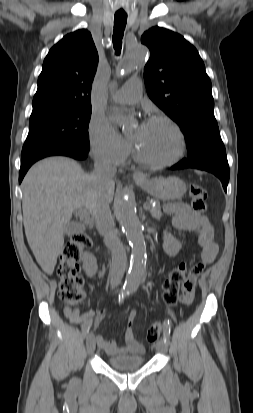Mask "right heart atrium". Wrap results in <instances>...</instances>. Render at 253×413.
I'll list each match as a JSON object with an SVG mask.
<instances>
[{
  "label": "right heart atrium",
  "instance_id": "obj_1",
  "mask_svg": "<svg viewBox=\"0 0 253 413\" xmlns=\"http://www.w3.org/2000/svg\"><path fill=\"white\" fill-rule=\"evenodd\" d=\"M89 143L92 156L108 164L123 162L130 151L129 144L104 118L98 116H93L90 120Z\"/></svg>",
  "mask_w": 253,
  "mask_h": 413
}]
</instances>
